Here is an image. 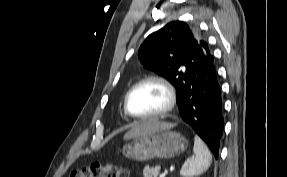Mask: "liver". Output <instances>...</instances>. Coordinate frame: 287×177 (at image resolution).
I'll return each mask as SVG.
<instances>
[{
	"mask_svg": "<svg viewBox=\"0 0 287 177\" xmlns=\"http://www.w3.org/2000/svg\"><path fill=\"white\" fill-rule=\"evenodd\" d=\"M173 126L174 124L160 122L156 119L143 121L140 124L134 126L129 132H127L124 136V139L128 140L154 131L170 129Z\"/></svg>",
	"mask_w": 287,
	"mask_h": 177,
	"instance_id": "liver-1",
	"label": "liver"
}]
</instances>
